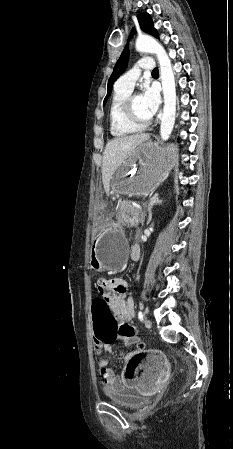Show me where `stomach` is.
Wrapping results in <instances>:
<instances>
[{
  "label": "stomach",
  "mask_w": 233,
  "mask_h": 449,
  "mask_svg": "<svg viewBox=\"0 0 233 449\" xmlns=\"http://www.w3.org/2000/svg\"><path fill=\"white\" fill-rule=\"evenodd\" d=\"M177 155L174 146L160 148L156 143L140 144L134 153L120 166L111 179V194L115 196H147L154 191L175 165ZM97 221H111V212H97ZM102 232L93 241L90 258L96 271L119 270L125 263L128 242L121 227L112 223H97Z\"/></svg>",
  "instance_id": "stomach-1"
}]
</instances>
